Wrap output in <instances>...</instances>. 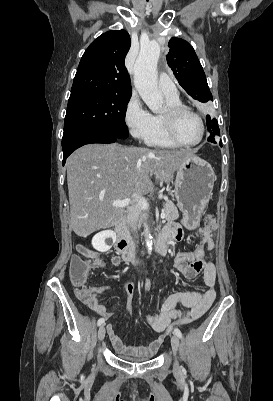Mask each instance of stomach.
Instances as JSON below:
<instances>
[{"label": "stomach", "mask_w": 273, "mask_h": 401, "mask_svg": "<svg viewBox=\"0 0 273 401\" xmlns=\"http://www.w3.org/2000/svg\"><path fill=\"white\" fill-rule=\"evenodd\" d=\"M214 182V170L202 158H188L177 168L174 192L183 213L181 223L185 229L193 231L199 227L203 211L212 196Z\"/></svg>", "instance_id": "1"}]
</instances>
